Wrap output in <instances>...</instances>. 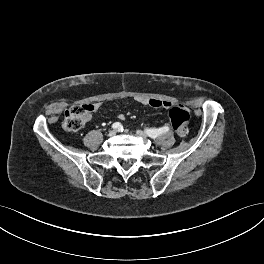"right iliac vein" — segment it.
<instances>
[{
	"label": "right iliac vein",
	"mask_w": 264,
	"mask_h": 264,
	"mask_svg": "<svg viewBox=\"0 0 264 264\" xmlns=\"http://www.w3.org/2000/svg\"><path fill=\"white\" fill-rule=\"evenodd\" d=\"M116 130H111L110 132H109V137H113V136H115L116 135Z\"/></svg>",
	"instance_id": "obj_1"
}]
</instances>
